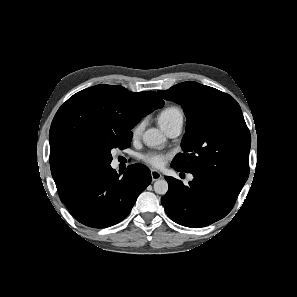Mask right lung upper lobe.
Returning <instances> with one entry per match:
<instances>
[{"instance_id":"obj_1","label":"right lung upper lobe","mask_w":297,"mask_h":297,"mask_svg":"<svg viewBox=\"0 0 297 297\" xmlns=\"http://www.w3.org/2000/svg\"><path fill=\"white\" fill-rule=\"evenodd\" d=\"M164 105L154 91L130 92L122 86L97 85L70 97L50 128V167L59 195L94 169L89 154L107 137L131 133L147 114Z\"/></svg>"}]
</instances>
